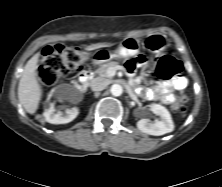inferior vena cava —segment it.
<instances>
[{"instance_id":"inferior-vena-cava-1","label":"inferior vena cava","mask_w":222,"mask_h":187,"mask_svg":"<svg viewBox=\"0 0 222 187\" xmlns=\"http://www.w3.org/2000/svg\"><path fill=\"white\" fill-rule=\"evenodd\" d=\"M107 85V81L100 77L94 78L90 82V87L93 91H102L107 87Z\"/></svg>"}]
</instances>
